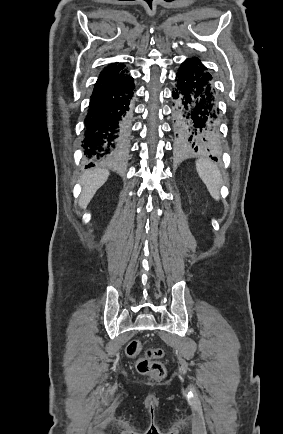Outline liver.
Wrapping results in <instances>:
<instances>
[{"label": "liver", "mask_w": 283, "mask_h": 434, "mask_svg": "<svg viewBox=\"0 0 283 434\" xmlns=\"http://www.w3.org/2000/svg\"><path fill=\"white\" fill-rule=\"evenodd\" d=\"M109 171L106 169H96L86 172L81 177L83 191L79 199V206L85 209L96 191L106 182Z\"/></svg>", "instance_id": "obj_1"}]
</instances>
